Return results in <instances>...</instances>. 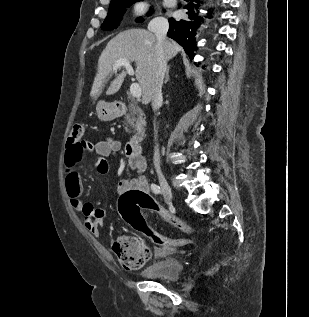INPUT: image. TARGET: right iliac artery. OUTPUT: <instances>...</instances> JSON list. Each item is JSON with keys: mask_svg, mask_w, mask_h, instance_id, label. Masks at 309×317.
Masks as SVG:
<instances>
[{"mask_svg": "<svg viewBox=\"0 0 309 317\" xmlns=\"http://www.w3.org/2000/svg\"><path fill=\"white\" fill-rule=\"evenodd\" d=\"M151 190L155 194H161V188L158 185H156V184H151Z\"/></svg>", "mask_w": 309, "mask_h": 317, "instance_id": "82829eb1", "label": "right iliac artery"}]
</instances>
